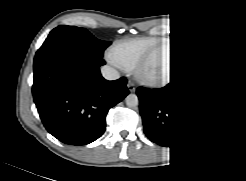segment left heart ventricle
Wrapping results in <instances>:
<instances>
[{"instance_id": "left-heart-ventricle-1", "label": "left heart ventricle", "mask_w": 246, "mask_h": 181, "mask_svg": "<svg viewBox=\"0 0 246 181\" xmlns=\"http://www.w3.org/2000/svg\"><path fill=\"white\" fill-rule=\"evenodd\" d=\"M178 57L177 48L170 46L162 51L151 64L149 71L156 73H164L170 71Z\"/></svg>"}]
</instances>
